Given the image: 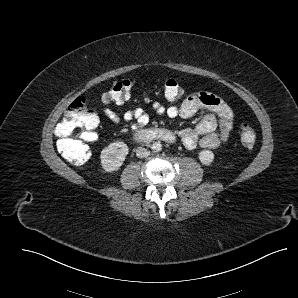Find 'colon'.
Returning <instances> with one entry per match:
<instances>
[{"mask_svg": "<svg viewBox=\"0 0 298 298\" xmlns=\"http://www.w3.org/2000/svg\"><path fill=\"white\" fill-rule=\"evenodd\" d=\"M134 86L132 78H125L114 82L104 93L105 102L124 103L130 97ZM164 97L169 101L179 100L184 90L179 82L173 78H165L162 84ZM98 117L88 109L83 97H78L68 106L62 120L55 128L58 137V148L75 164H83L90 158V151L86 142L97 138ZM240 141L247 147L254 146L256 132L249 123L240 125Z\"/></svg>", "mask_w": 298, "mask_h": 298, "instance_id": "5ec220e1", "label": "colon"}]
</instances>
